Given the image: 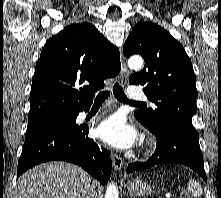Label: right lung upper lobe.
Instances as JSON below:
<instances>
[{"mask_svg": "<svg viewBox=\"0 0 221 198\" xmlns=\"http://www.w3.org/2000/svg\"><path fill=\"white\" fill-rule=\"evenodd\" d=\"M120 68L118 48L93 25H69L42 49L32 80L28 123L90 108L95 92Z\"/></svg>", "mask_w": 221, "mask_h": 198, "instance_id": "1", "label": "right lung upper lobe"}]
</instances>
